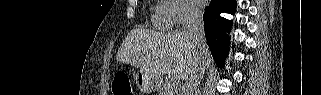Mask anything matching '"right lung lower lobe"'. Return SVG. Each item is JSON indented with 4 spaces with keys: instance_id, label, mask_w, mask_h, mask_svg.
Listing matches in <instances>:
<instances>
[{
    "instance_id": "obj_1",
    "label": "right lung lower lobe",
    "mask_w": 321,
    "mask_h": 95,
    "mask_svg": "<svg viewBox=\"0 0 321 95\" xmlns=\"http://www.w3.org/2000/svg\"><path fill=\"white\" fill-rule=\"evenodd\" d=\"M235 7V0H212L203 15L207 44L216 65L221 68L224 66V59L229 46L226 31H229L232 23L221 17L220 13L233 14Z\"/></svg>"
}]
</instances>
